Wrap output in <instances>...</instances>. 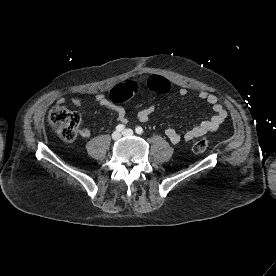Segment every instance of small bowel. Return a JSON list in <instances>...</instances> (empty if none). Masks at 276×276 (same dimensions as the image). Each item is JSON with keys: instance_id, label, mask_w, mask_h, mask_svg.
Here are the masks:
<instances>
[{"instance_id": "obj_1", "label": "small bowel", "mask_w": 276, "mask_h": 276, "mask_svg": "<svg viewBox=\"0 0 276 276\" xmlns=\"http://www.w3.org/2000/svg\"><path fill=\"white\" fill-rule=\"evenodd\" d=\"M160 79L161 78L155 76L150 77L147 81L148 87L155 92L166 93L169 90V87L166 84L162 83ZM150 82H155L156 87H150ZM122 87L129 92L130 97L135 96L139 92V85L136 81L133 80L126 82ZM178 93L179 95L184 96L187 94V89L185 87H180ZM92 94L97 104H99L100 106L107 107L115 112L117 121H128L126 112L122 106L110 100L104 93L92 92ZM198 97L201 100L207 102L211 106L213 110V115L207 120H204L194 125L192 128H190L184 133H181L171 127L166 128L164 133L171 143L178 144L182 141L189 142L196 138L202 137L210 132L216 131L226 119L227 111L224 108V106L220 103L219 98L216 95L209 93L207 91H200L198 93ZM65 100L66 99L64 97H61L58 100V102L64 103ZM71 102L75 106H80L82 104V99L78 96H74L72 97ZM154 110L155 106L149 105L148 107L144 108L143 110L137 113L136 119L140 122H147ZM79 135L81 138L86 139L90 137L91 132L89 129L83 128L79 131Z\"/></svg>"}]
</instances>
